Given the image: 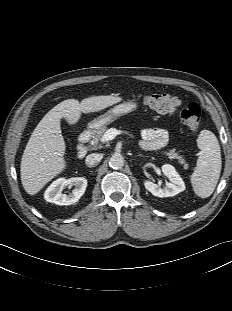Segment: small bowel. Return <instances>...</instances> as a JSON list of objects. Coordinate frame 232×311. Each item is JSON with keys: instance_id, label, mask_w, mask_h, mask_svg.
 Segmentation results:
<instances>
[{"instance_id": "obj_1", "label": "small bowel", "mask_w": 232, "mask_h": 311, "mask_svg": "<svg viewBox=\"0 0 232 311\" xmlns=\"http://www.w3.org/2000/svg\"><path fill=\"white\" fill-rule=\"evenodd\" d=\"M168 132L162 128H147L142 131L141 146L146 150H157L168 142Z\"/></svg>"}]
</instances>
